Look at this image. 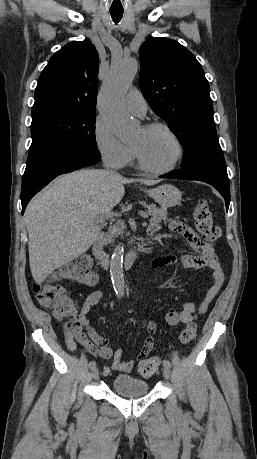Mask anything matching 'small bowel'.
I'll list each match as a JSON object with an SVG mask.
<instances>
[{
    "mask_svg": "<svg viewBox=\"0 0 257 459\" xmlns=\"http://www.w3.org/2000/svg\"><path fill=\"white\" fill-rule=\"evenodd\" d=\"M170 231L180 234L190 244L195 254L183 255L176 257L174 255L162 256L152 262L153 268H159L170 265H180L183 269L194 271L202 268H208L213 275V282L205 296L199 303L184 302L181 310L170 308L166 312V321L170 326L178 324H188L194 321L197 314H203L208 309L209 304L221 290L225 282V275L221 268L220 262L214 253L212 247L201 240L194 229L180 221H171L169 223ZM160 230L159 222H151L148 226V232L153 234ZM102 298L101 291H94L89 294L77 312V316L72 320L71 325L65 326V342L70 351L77 349L76 341L82 344L89 353L99 356L102 359L113 358L111 366H105L102 374L108 376L113 370L130 373L135 366V360L123 361V351H113L108 339L99 335L88 323L86 315L90 309L99 303ZM158 329L157 322H150L146 327V338L144 345L137 357V360L144 359L152 350L154 345L153 334Z\"/></svg>",
    "mask_w": 257,
    "mask_h": 459,
    "instance_id": "c3829d8e",
    "label": "small bowel"
}]
</instances>
